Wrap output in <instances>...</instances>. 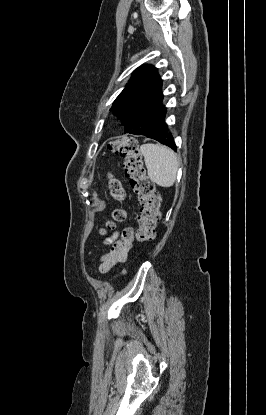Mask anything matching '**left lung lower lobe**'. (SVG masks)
Wrapping results in <instances>:
<instances>
[{
	"label": "left lung lower lobe",
	"mask_w": 266,
	"mask_h": 415,
	"mask_svg": "<svg viewBox=\"0 0 266 415\" xmlns=\"http://www.w3.org/2000/svg\"><path fill=\"white\" fill-rule=\"evenodd\" d=\"M141 135H144L148 138L155 139L159 141L160 143L169 146L173 150H176L174 138L171 132L169 131L168 126L165 122L159 128L153 131L145 132Z\"/></svg>",
	"instance_id": "obj_1"
}]
</instances>
